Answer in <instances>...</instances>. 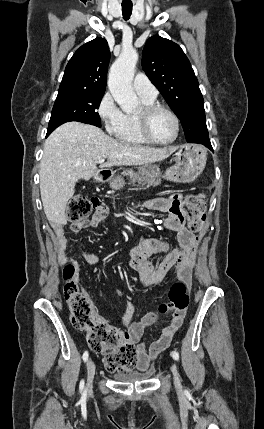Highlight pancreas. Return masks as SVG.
<instances>
[{"mask_svg": "<svg viewBox=\"0 0 264 429\" xmlns=\"http://www.w3.org/2000/svg\"><path fill=\"white\" fill-rule=\"evenodd\" d=\"M121 174L123 176H128L131 182H137L140 186V189H148L151 186L155 187L161 182V179L147 178L141 176L140 174L134 173L132 170L124 171Z\"/></svg>", "mask_w": 264, "mask_h": 429, "instance_id": "obj_1", "label": "pancreas"}]
</instances>
